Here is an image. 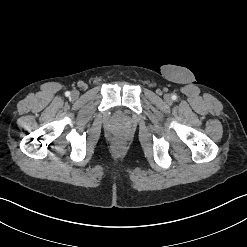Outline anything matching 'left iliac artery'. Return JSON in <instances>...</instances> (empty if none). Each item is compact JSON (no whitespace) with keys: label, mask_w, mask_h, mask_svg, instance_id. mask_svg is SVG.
Segmentation results:
<instances>
[{"label":"left iliac artery","mask_w":247,"mask_h":247,"mask_svg":"<svg viewBox=\"0 0 247 247\" xmlns=\"http://www.w3.org/2000/svg\"><path fill=\"white\" fill-rule=\"evenodd\" d=\"M172 99H173V100H176V99H177V96H176V95H173V96H172Z\"/></svg>","instance_id":"left-iliac-artery-1"}]
</instances>
